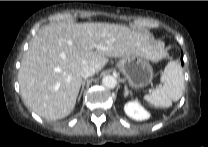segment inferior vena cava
Masks as SVG:
<instances>
[{"label":"inferior vena cava","instance_id":"obj_1","mask_svg":"<svg viewBox=\"0 0 208 147\" xmlns=\"http://www.w3.org/2000/svg\"><path fill=\"white\" fill-rule=\"evenodd\" d=\"M81 77L88 78L95 74V68L93 66H85L81 69Z\"/></svg>","mask_w":208,"mask_h":147}]
</instances>
